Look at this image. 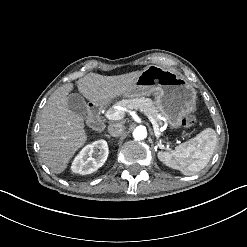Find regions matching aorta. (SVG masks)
<instances>
[{
    "label": "aorta",
    "instance_id": "obj_1",
    "mask_svg": "<svg viewBox=\"0 0 247 247\" xmlns=\"http://www.w3.org/2000/svg\"><path fill=\"white\" fill-rule=\"evenodd\" d=\"M133 137L136 140H143L147 137V130L144 126H138L133 131Z\"/></svg>",
    "mask_w": 247,
    "mask_h": 247
}]
</instances>
